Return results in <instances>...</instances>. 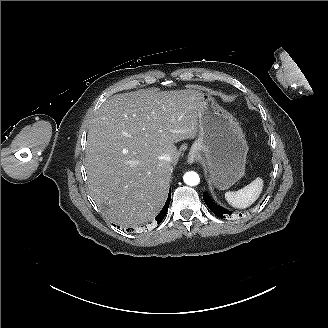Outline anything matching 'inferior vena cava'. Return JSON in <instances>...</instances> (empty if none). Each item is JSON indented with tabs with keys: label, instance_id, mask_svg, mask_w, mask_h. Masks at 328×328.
<instances>
[{
	"label": "inferior vena cava",
	"instance_id": "1",
	"mask_svg": "<svg viewBox=\"0 0 328 328\" xmlns=\"http://www.w3.org/2000/svg\"><path fill=\"white\" fill-rule=\"evenodd\" d=\"M160 159L161 160H165V161H170L171 160V157H170V155L169 154H162L161 156H160Z\"/></svg>",
	"mask_w": 328,
	"mask_h": 328
}]
</instances>
